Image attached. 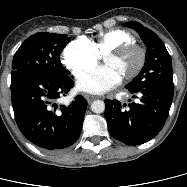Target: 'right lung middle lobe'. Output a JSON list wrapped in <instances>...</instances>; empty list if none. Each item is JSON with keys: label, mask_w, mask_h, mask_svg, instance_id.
<instances>
[{"label": "right lung middle lobe", "mask_w": 187, "mask_h": 187, "mask_svg": "<svg viewBox=\"0 0 187 187\" xmlns=\"http://www.w3.org/2000/svg\"><path fill=\"white\" fill-rule=\"evenodd\" d=\"M69 41L67 35L48 32L28 37L14 55L11 78L20 74L66 77L60 53Z\"/></svg>", "instance_id": "obj_1"}]
</instances>
